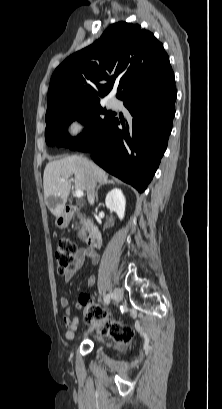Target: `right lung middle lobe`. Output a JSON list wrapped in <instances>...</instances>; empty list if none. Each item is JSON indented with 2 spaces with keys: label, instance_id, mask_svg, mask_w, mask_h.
Here are the masks:
<instances>
[{
  "label": "right lung middle lobe",
  "instance_id": "right-lung-middle-lobe-1",
  "mask_svg": "<svg viewBox=\"0 0 222 409\" xmlns=\"http://www.w3.org/2000/svg\"><path fill=\"white\" fill-rule=\"evenodd\" d=\"M115 113L102 108L100 102L71 104L46 112L45 140L49 146H65L72 150L87 148L102 140ZM83 122L87 129L76 138L69 136L68 125Z\"/></svg>",
  "mask_w": 222,
  "mask_h": 409
}]
</instances>
